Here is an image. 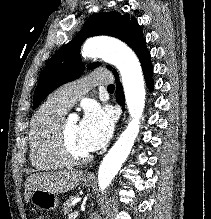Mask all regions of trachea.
<instances>
[{
    "mask_svg": "<svg viewBox=\"0 0 211 219\" xmlns=\"http://www.w3.org/2000/svg\"><path fill=\"white\" fill-rule=\"evenodd\" d=\"M114 88H115V87H114L113 84H110V85L108 86V89H109V90H114Z\"/></svg>",
    "mask_w": 211,
    "mask_h": 219,
    "instance_id": "1",
    "label": "trachea"
}]
</instances>
